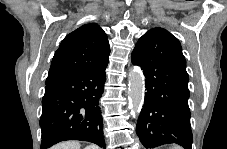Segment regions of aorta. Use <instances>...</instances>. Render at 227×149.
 Here are the masks:
<instances>
[{"label": "aorta", "instance_id": "1", "mask_svg": "<svg viewBox=\"0 0 227 149\" xmlns=\"http://www.w3.org/2000/svg\"><path fill=\"white\" fill-rule=\"evenodd\" d=\"M145 81L139 69H131L129 72L128 99L131 111L139 115L144 103Z\"/></svg>", "mask_w": 227, "mask_h": 149}]
</instances>
